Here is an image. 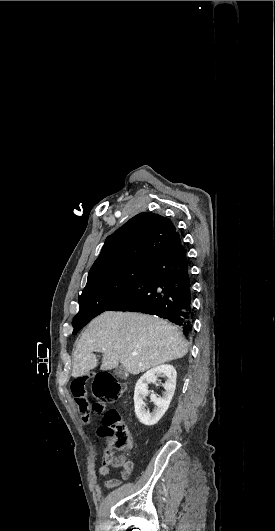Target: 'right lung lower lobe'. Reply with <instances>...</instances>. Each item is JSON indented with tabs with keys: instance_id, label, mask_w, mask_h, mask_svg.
Instances as JSON below:
<instances>
[{
	"instance_id": "obj_1",
	"label": "right lung lower lobe",
	"mask_w": 275,
	"mask_h": 531,
	"mask_svg": "<svg viewBox=\"0 0 275 531\" xmlns=\"http://www.w3.org/2000/svg\"><path fill=\"white\" fill-rule=\"evenodd\" d=\"M192 289L189 264L176 231L167 245L146 265L137 282L107 311L153 314L192 331Z\"/></svg>"
}]
</instances>
